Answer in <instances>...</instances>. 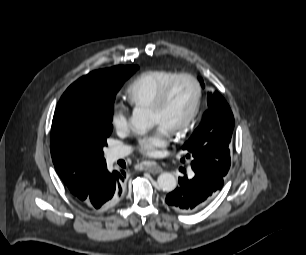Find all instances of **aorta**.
Segmentation results:
<instances>
[{
	"label": "aorta",
	"mask_w": 306,
	"mask_h": 255,
	"mask_svg": "<svg viewBox=\"0 0 306 255\" xmlns=\"http://www.w3.org/2000/svg\"><path fill=\"white\" fill-rule=\"evenodd\" d=\"M131 126L137 133H146L152 126L149 112L140 108H135L131 117ZM157 185L159 189L165 192H171L176 188L177 181L173 174L163 172L158 176Z\"/></svg>",
	"instance_id": "obj_1"
}]
</instances>
